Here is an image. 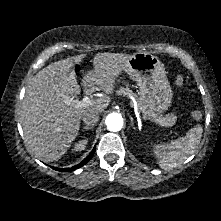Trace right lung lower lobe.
<instances>
[{"label":"right lung lower lobe","mask_w":221,"mask_h":221,"mask_svg":"<svg viewBox=\"0 0 221 221\" xmlns=\"http://www.w3.org/2000/svg\"><path fill=\"white\" fill-rule=\"evenodd\" d=\"M95 153V147L93 148V150L91 151V153L79 164L71 167V168H57V167H52L54 170H57V171H61V172H70V171H74L82 166H84L94 155Z\"/></svg>","instance_id":"1"}]
</instances>
